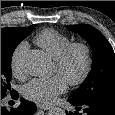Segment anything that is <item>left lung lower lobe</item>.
<instances>
[{"label": "left lung lower lobe", "mask_w": 115, "mask_h": 115, "mask_svg": "<svg viewBox=\"0 0 115 115\" xmlns=\"http://www.w3.org/2000/svg\"><path fill=\"white\" fill-rule=\"evenodd\" d=\"M68 101L76 107V111H79L82 108L86 115H115V104L107 102H88L84 104H77L70 99H68ZM67 115L74 114L70 112L67 113ZM75 115L82 114L75 112Z\"/></svg>", "instance_id": "left-lung-lower-lobe-1"}]
</instances>
